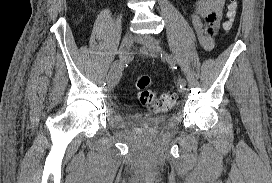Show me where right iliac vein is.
<instances>
[{"mask_svg": "<svg viewBox=\"0 0 272 183\" xmlns=\"http://www.w3.org/2000/svg\"><path fill=\"white\" fill-rule=\"evenodd\" d=\"M134 37L131 34H126L121 42L120 49H119V68H123L124 64L128 61L129 58V52L133 45ZM117 70V69H116ZM121 77V73L117 78H111L110 73H108L106 80L109 85V87H115L117 83L119 82V79Z\"/></svg>", "mask_w": 272, "mask_h": 183, "instance_id": "63e3f726", "label": "right iliac vein"}]
</instances>
